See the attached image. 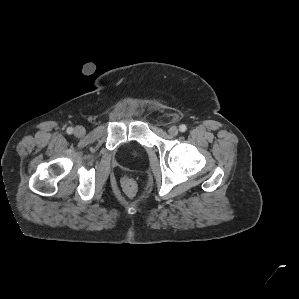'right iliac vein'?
<instances>
[{
	"label": "right iliac vein",
	"instance_id": "obj_1",
	"mask_svg": "<svg viewBox=\"0 0 299 299\" xmlns=\"http://www.w3.org/2000/svg\"><path fill=\"white\" fill-rule=\"evenodd\" d=\"M85 128L83 126H77L74 129V134L77 137H82L85 134Z\"/></svg>",
	"mask_w": 299,
	"mask_h": 299
}]
</instances>
